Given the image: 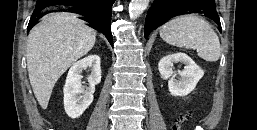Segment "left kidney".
<instances>
[{
	"label": "left kidney",
	"instance_id": "left-kidney-1",
	"mask_svg": "<svg viewBox=\"0 0 257 130\" xmlns=\"http://www.w3.org/2000/svg\"><path fill=\"white\" fill-rule=\"evenodd\" d=\"M183 63L184 70L178 71L179 80L175 79L176 72L173 71V63ZM160 74L168 78L169 92L173 96H186L196 87L198 81L203 77L204 71L184 53H176L163 57L158 64Z\"/></svg>",
	"mask_w": 257,
	"mask_h": 130
}]
</instances>
